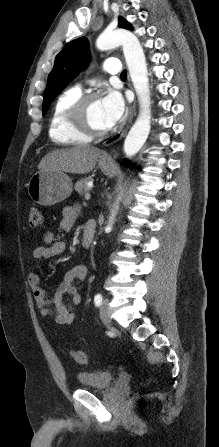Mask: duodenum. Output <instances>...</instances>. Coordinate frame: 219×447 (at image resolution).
I'll return each instance as SVG.
<instances>
[{"instance_id": "duodenum-1", "label": "duodenum", "mask_w": 219, "mask_h": 447, "mask_svg": "<svg viewBox=\"0 0 219 447\" xmlns=\"http://www.w3.org/2000/svg\"><path fill=\"white\" fill-rule=\"evenodd\" d=\"M95 235V223L91 220L86 221L83 229V247L88 249L94 239Z\"/></svg>"}]
</instances>
